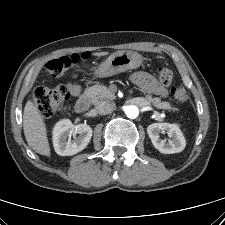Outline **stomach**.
Masks as SVG:
<instances>
[{
    "instance_id": "0dacf381",
    "label": "stomach",
    "mask_w": 225,
    "mask_h": 225,
    "mask_svg": "<svg viewBox=\"0 0 225 225\" xmlns=\"http://www.w3.org/2000/svg\"><path fill=\"white\" fill-rule=\"evenodd\" d=\"M142 63V56L134 51L122 50L112 53L95 70L98 77H109L129 69H136Z\"/></svg>"
}]
</instances>
